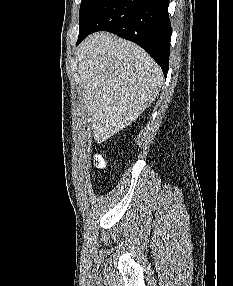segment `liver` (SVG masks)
Wrapping results in <instances>:
<instances>
[{"label":"liver","mask_w":233,"mask_h":286,"mask_svg":"<svg viewBox=\"0 0 233 286\" xmlns=\"http://www.w3.org/2000/svg\"><path fill=\"white\" fill-rule=\"evenodd\" d=\"M78 70L94 140L101 144L135 120L164 81L155 61L138 45L99 32L78 47Z\"/></svg>","instance_id":"obj_1"}]
</instances>
